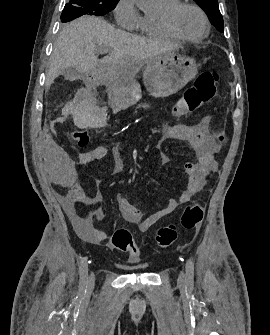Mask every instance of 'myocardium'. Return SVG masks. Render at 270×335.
Returning a JSON list of instances; mask_svg holds the SVG:
<instances>
[{
  "label": "myocardium",
  "instance_id": "myocardium-1",
  "mask_svg": "<svg viewBox=\"0 0 270 335\" xmlns=\"http://www.w3.org/2000/svg\"><path fill=\"white\" fill-rule=\"evenodd\" d=\"M183 6H190L194 8L200 15L203 25H204V31L199 35L189 36L184 33H182L176 26V15L179 12V10ZM158 20L160 24L164 27V29L171 34L172 36L182 39V40H188V41H196L205 38L209 32H210V24L208 21L207 16L203 12V10L197 6L196 4L186 1V2H178L175 5L171 6L168 9H165L162 11V13L159 15Z\"/></svg>",
  "mask_w": 270,
  "mask_h": 335
}]
</instances>
